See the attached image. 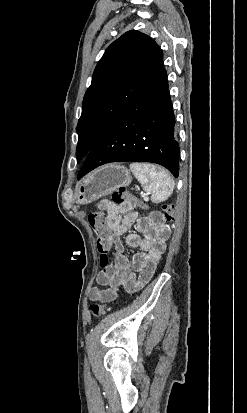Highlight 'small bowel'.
Masks as SVG:
<instances>
[{
    "mask_svg": "<svg viewBox=\"0 0 247 413\" xmlns=\"http://www.w3.org/2000/svg\"><path fill=\"white\" fill-rule=\"evenodd\" d=\"M98 208L107 213L106 221L110 229V241L116 254L113 262L104 267L97 276V283L103 289L93 287L89 292L91 301L108 302L118 297L114 289L123 285L128 292L141 290L154 276L159 259L166 250V242L171 229L165 223L155 224L149 217H141L132 203L116 204L102 200ZM135 226L142 234L131 233ZM125 245L138 248L139 252L131 260L123 253Z\"/></svg>",
    "mask_w": 247,
    "mask_h": 413,
    "instance_id": "c3829d8e",
    "label": "small bowel"
}]
</instances>
